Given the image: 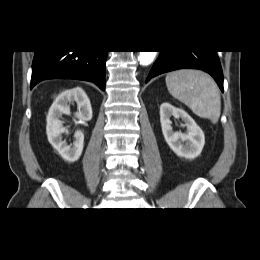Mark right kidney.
I'll return each mask as SVG.
<instances>
[{"label": "right kidney", "instance_id": "1", "mask_svg": "<svg viewBox=\"0 0 260 260\" xmlns=\"http://www.w3.org/2000/svg\"><path fill=\"white\" fill-rule=\"evenodd\" d=\"M77 103L78 111L75 117L80 121H89L92 119V108L90 100L85 91L76 87L61 93L49 109L47 116L46 132L49 143L58 151V153L68 162H75L82 154L84 146V135L77 130L74 134L73 146L68 145L63 140L62 134H68L69 131L63 127L60 120L63 114H70V104Z\"/></svg>", "mask_w": 260, "mask_h": 260}]
</instances>
